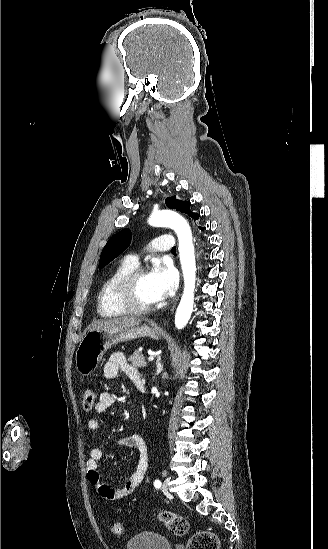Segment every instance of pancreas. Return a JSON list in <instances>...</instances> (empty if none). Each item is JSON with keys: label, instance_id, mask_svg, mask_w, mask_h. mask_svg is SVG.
Masks as SVG:
<instances>
[{"label": "pancreas", "instance_id": "cf45deb5", "mask_svg": "<svg viewBox=\"0 0 328 549\" xmlns=\"http://www.w3.org/2000/svg\"><path fill=\"white\" fill-rule=\"evenodd\" d=\"M128 361H130L131 365L133 367H146L147 363L145 361V357L141 355L140 351H135L133 355H130Z\"/></svg>", "mask_w": 328, "mask_h": 549}]
</instances>
